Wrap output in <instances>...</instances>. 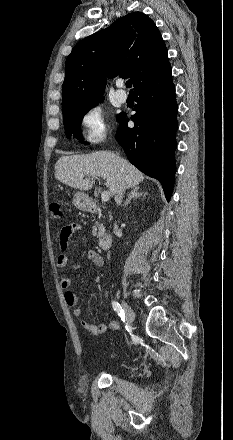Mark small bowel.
Returning a JSON list of instances; mask_svg holds the SVG:
<instances>
[{
    "label": "small bowel",
    "mask_w": 233,
    "mask_h": 440,
    "mask_svg": "<svg viewBox=\"0 0 233 440\" xmlns=\"http://www.w3.org/2000/svg\"><path fill=\"white\" fill-rule=\"evenodd\" d=\"M81 229L80 225L77 223H70L65 225L59 235V245L61 253L57 257V266L61 269H68L70 267V259L67 254L70 246L73 243L74 236L76 232ZM88 259L93 262L97 267L104 266L103 257L96 251H89L87 254ZM59 285L65 290L64 299L68 306L73 308V314L76 317H81L83 315L82 309L78 306L79 298L78 295L70 290L71 279L70 277L64 275L59 278ZM81 326L87 332L93 335H100L107 331L117 330L119 328V323L116 320H112L109 323H99L93 324L89 321L82 320Z\"/></svg>",
    "instance_id": "c3829d8e"
}]
</instances>
